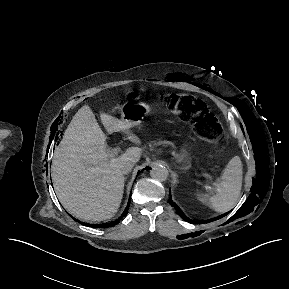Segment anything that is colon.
I'll return each mask as SVG.
<instances>
[{"label":"colon","mask_w":289,"mask_h":289,"mask_svg":"<svg viewBox=\"0 0 289 289\" xmlns=\"http://www.w3.org/2000/svg\"><path fill=\"white\" fill-rule=\"evenodd\" d=\"M165 100L176 114L191 124L198 136L211 142L218 140L220 130L203 100L194 96L176 94L165 96Z\"/></svg>","instance_id":"colon-1"}]
</instances>
